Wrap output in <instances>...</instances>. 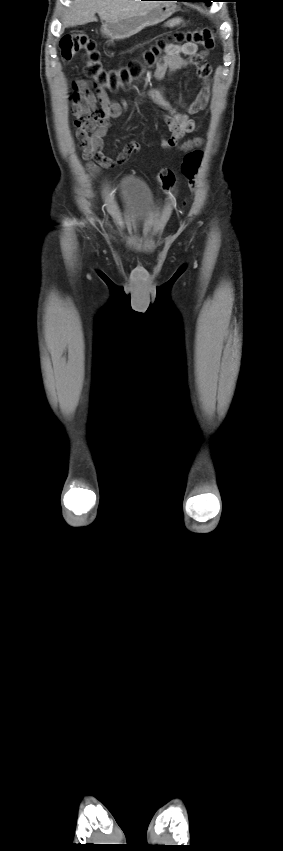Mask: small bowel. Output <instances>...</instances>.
I'll use <instances>...</instances> for the list:
<instances>
[{"instance_id":"1","label":"small bowel","mask_w":283,"mask_h":851,"mask_svg":"<svg viewBox=\"0 0 283 851\" xmlns=\"http://www.w3.org/2000/svg\"><path fill=\"white\" fill-rule=\"evenodd\" d=\"M179 23V20H174L167 25L172 27ZM207 55V51H199L198 46L192 43L170 44L157 65L155 78L158 81L168 73L190 66L197 67L198 74L203 80V87L196 98L191 103L179 100L180 108L173 105L161 89L148 92L147 96L165 112L164 120L171 135L168 138L162 137L161 145L167 150L177 147L187 151L202 144V139L199 137L184 142L181 140L185 134L197 130L198 125L190 118V115L205 109L209 99L211 68L204 61ZM95 91L94 93L91 90L89 81L78 79L72 85L70 100L75 117V135L82 149V158L87 170L93 175H98L101 168H114L123 164L132 154L139 151L140 146L137 142H130L115 159L103 154V139L111 125L110 120L121 116L128 108V103L111 101L103 88H95ZM98 102L101 106L100 110H96ZM89 130H92L90 135Z\"/></svg>"}]
</instances>
